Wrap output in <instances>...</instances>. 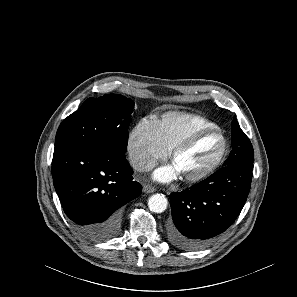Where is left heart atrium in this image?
<instances>
[{"instance_id":"left-heart-atrium-1","label":"left heart atrium","mask_w":297,"mask_h":297,"mask_svg":"<svg viewBox=\"0 0 297 297\" xmlns=\"http://www.w3.org/2000/svg\"><path fill=\"white\" fill-rule=\"evenodd\" d=\"M179 175H180L179 172L172 164V165L161 167L158 170H156L153 177L155 180L159 182H168L173 179H176Z\"/></svg>"}]
</instances>
